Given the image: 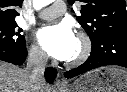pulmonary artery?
Segmentation results:
<instances>
[{"instance_id":"pulmonary-artery-1","label":"pulmonary artery","mask_w":127,"mask_h":92,"mask_svg":"<svg viewBox=\"0 0 127 92\" xmlns=\"http://www.w3.org/2000/svg\"><path fill=\"white\" fill-rule=\"evenodd\" d=\"M66 10L65 4L63 1H55L51 6L42 10L39 13V17L42 19H53L62 15Z\"/></svg>"}]
</instances>
